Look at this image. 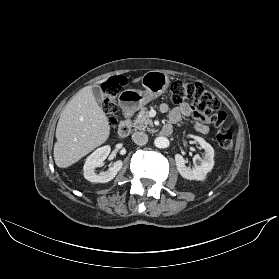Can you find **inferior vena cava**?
I'll list each match as a JSON object with an SVG mask.
<instances>
[{
	"label": "inferior vena cava",
	"instance_id": "602c4592",
	"mask_svg": "<svg viewBox=\"0 0 279 279\" xmlns=\"http://www.w3.org/2000/svg\"><path fill=\"white\" fill-rule=\"evenodd\" d=\"M132 140L137 145H145L148 142V136L144 132H135L132 134Z\"/></svg>",
	"mask_w": 279,
	"mask_h": 279
}]
</instances>
